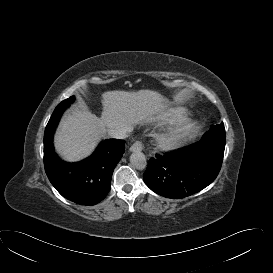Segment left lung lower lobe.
<instances>
[{
	"instance_id": "left-lung-lower-lobe-1",
	"label": "left lung lower lobe",
	"mask_w": 273,
	"mask_h": 273,
	"mask_svg": "<svg viewBox=\"0 0 273 273\" xmlns=\"http://www.w3.org/2000/svg\"><path fill=\"white\" fill-rule=\"evenodd\" d=\"M224 152L201 142L149 160L143 175L146 185L167 198L195 194L217 177Z\"/></svg>"
}]
</instances>
